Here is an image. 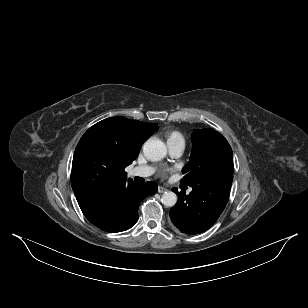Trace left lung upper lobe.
Wrapping results in <instances>:
<instances>
[{"label": "left lung upper lobe", "mask_w": 308, "mask_h": 308, "mask_svg": "<svg viewBox=\"0 0 308 308\" xmlns=\"http://www.w3.org/2000/svg\"><path fill=\"white\" fill-rule=\"evenodd\" d=\"M191 138L192 153L182 170L181 183L192 186L215 175L234 173L232 149L223 135L213 129H198Z\"/></svg>", "instance_id": "left-lung-upper-lobe-1"}]
</instances>
